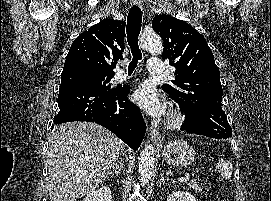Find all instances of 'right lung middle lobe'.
I'll use <instances>...</instances> for the list:
<instances>
[{
    "label": "right lung middle lobe",
    "mask_w": 271,
    "mask_h": 201,
    "mask_svg": "<svg viewBox=\"0 0 271 201\" xmlns=\"http://www.w3.org/2000/svg\"><path fill=\"white\" fill-rule=\"evenodd\" d=\"M114 75L89 72L82 69L72 70L70 72H62L61 83L65 80H76L85 87H96L104 90H114L109 83Z\"/></svg>",
    "instance_id": "dd1d6c3e"
}]
</instances>
